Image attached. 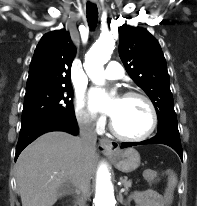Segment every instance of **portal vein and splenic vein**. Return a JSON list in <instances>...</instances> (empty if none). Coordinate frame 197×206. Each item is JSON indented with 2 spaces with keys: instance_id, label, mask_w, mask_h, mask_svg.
Returning <instances> with one entry per match:
<instances>
[{
  "instance_id": "obj_1",
  "label": "portal vein and splenic vein",
  "mask_w": 197,
  "mask_h": 206,
  "mask_svg": "<svg viewBox=\"0 0 197 206\" xmlns=\"http://www.w3.org/2000/svg\"><path fill=\"white\" fill-rule=\"evenodd\" d=\"M125 191V189H121V192H124Z\"/></svg>"
}]
</instances>
